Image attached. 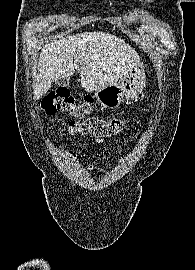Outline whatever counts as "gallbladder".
Here are the masks:
<instances>
[{
	"instance_id": "bac80fb5",
	"label": "gallbladder",
	"mask_w": 195,
	"mask_h": 270,
	"mask_svg": "<svg viewBox=\"0 0 195 270\" xmlns=\"http://www.w3.org/2000/svg\"><path fill=\"white\" fill-rule=\"evenodd\" d=\"M69 83H70V78H61L56 81V85L58 87H66L69 85Z\"/></svg>"
}]
</instances>
